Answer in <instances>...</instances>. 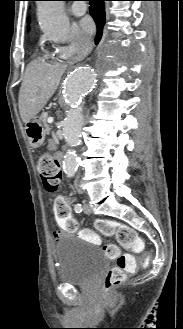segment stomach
Listing matches in <instances>:
<instances>
[{"label":"stomach","mask_w":183,"mask_h":329,"mask_svg":"<svg viewBox=\"0 0 183 329\" xmlns=\"http://www.w3.org/2000/svg\"><path fill=\"white\" fill-rule=\"evenodd\" d=\"M25 133L32 148H38L41 146L45 140L46 131L37 118H33L27 123H25Z\"/></svg>","instance_id":"obj_1"}]
</instances>
